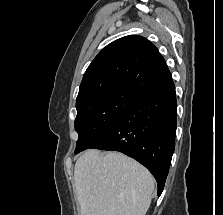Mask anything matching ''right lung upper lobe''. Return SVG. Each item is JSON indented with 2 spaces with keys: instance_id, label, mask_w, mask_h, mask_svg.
I'll return each mask as SVG.
<instances>
[{
  "instance_id": "obj_1",
  "label": "right lung upper lobe",
  "mask_w": 223,
  "mask_h": 215,
  "mask_svg": "<svg viewBox=\"0 0 223 215\" xmlns=\"http://www.w3.org/2000/svg\"><path fill=\"white\" fill-rule=\"evenodd\" d=\"M172 81L167 64L146 38L130 35L102 49L84 73L76 106L114 90L139 95Z\"/></svg>"
}]
</instances>
